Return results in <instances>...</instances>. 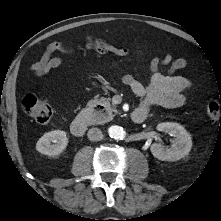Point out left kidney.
<instances>
[{"instance_id": "1", "label": "left kidney", "mask_w": 221, "mask_h": 221, "mask_svg": "<svg viewBox=\"0 0 221 221\" xmlns=\"http://www.w3.org/2000/svg\"><path fill=\"white\" fill-rule=\"evenodd\" d=\"M157 130L174 136L175 139L170 148L154 143L150 150L153 156L161 161H177L189 154L192 148L191 135L186 129L174 122H163L157 125Z\"/></svg>"}]
</instances>
